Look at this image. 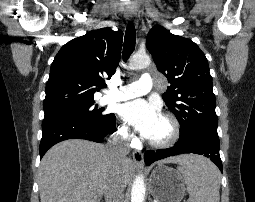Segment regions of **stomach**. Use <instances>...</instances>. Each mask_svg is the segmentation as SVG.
I'll use <instances>...</instances> for the list:
<instances>
[{"label":"stomach","mask_w":255,"mask_h":202,"mask_svg":"<svg viewBox=\"0 0 255 202\" xmlns=\"http://www.w3.org/2000/svg\"><path fill=\"white\" fill-rule=\"evenodd\" d=\"M149 190L158 202H181L186 193L185 180L178 170L158 164L151 173Z\"/></svg>","instance_id":"1"}]
</instances>
